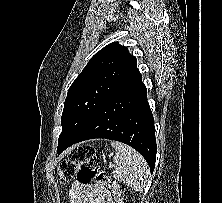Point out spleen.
<instances>
[{"instance_id": "3e777b00", "label": "spleen", "mask_w": 222, "mask_h": 203, "mask_svg": "<svg viewBox=\"0 0 222 203\" xmlns=\"http://www.w3.org/2000/svg\"><path fill=\"white\" fill-rule=\"evenodd\" d=\"M111 146L115 149L113 177L133 190L142 191L150 174L145 159L136 150L121 142H111Z\"/></svg>"}]
</instances>
